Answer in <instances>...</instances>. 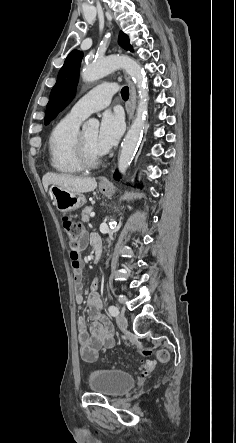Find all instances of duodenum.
Here are the masks:
<instances>
[{
	"label": "duodenum",
	"instance_id": "duodenum-1",
	"mask_svg": "<svg viewBox=\"0 0 236 443\" xmlns=\"http://www.w3.org/2000/svg\"><path fill=\"white\" fill-rule=\"evenodd\" d=\"M101 253H102V246L99 245L94 249L93 258L95 261L99 260Z\"/></svg>",
	"mask_w": 236,
	"mask_h": 443
}]
</instances>
